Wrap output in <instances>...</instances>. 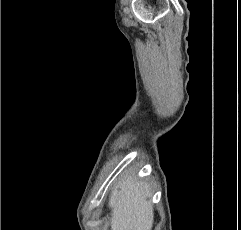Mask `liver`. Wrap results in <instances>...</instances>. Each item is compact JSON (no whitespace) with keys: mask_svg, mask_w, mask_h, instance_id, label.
Segmentation results:
<instances>
[{"mask_svg":"<svg viewBox=\"0 0 241 230\" xmlns=\"http://www.w3.org/2000/svg\"><path fill=\"white\" fill-rule=\"evenodd\" d=\"M111 192L108 206L112 209L111 230H151L154 220L153 207L147 200L149 191L134 177H126Z\"/></svg>","mask_w":241,"mask_h":230,"instance_id":"obj_1","label":"liver"}]
</instances>
